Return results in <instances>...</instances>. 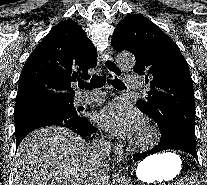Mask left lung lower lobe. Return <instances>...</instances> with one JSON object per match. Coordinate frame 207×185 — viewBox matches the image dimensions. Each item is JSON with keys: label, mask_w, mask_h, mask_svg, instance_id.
I'll list each match as a JSON object with an SVG mask.
<instances>
[{"label": "left lung lower lobe", "mask_w": 207, "mask_h": 185, "mask_svg": "<svg viewBox=\"0 0 207 185\" xmlns=\"http://www.w3.org/2000/svg\"><path fill=\"white\" fill-rule=\"evenodd\" d=\"M168 149L184 151L197 159L195 142L190 140L189 137L179 129H172L165 134H161V139L158 145L149 151L135 153L133 159L137 162L151 154Z\"/></svg>", "instance_id": "0a47b994"}]
</instances>
